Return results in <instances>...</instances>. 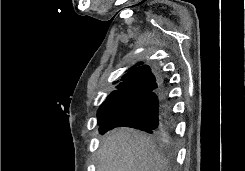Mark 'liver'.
Returning <instances> with one entry per match:
<instances>
[{
    "mask_svg": "<svg viewBox=\"0 0 245 171\" xmlns=\"http://www.w3.org/2000/svg\"><path fill=\"white\" fill-rule=\"evenodd\" d=\"M97 171H169V164L150 136L131 128H119L103 138Z\"/></svg>",
    "mask_w": 245,
    "mask_h": 171,
    "instance_id": "liver-1",
    "label": "liver"
}]
</instances>
